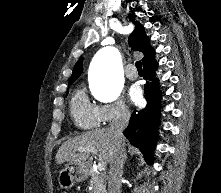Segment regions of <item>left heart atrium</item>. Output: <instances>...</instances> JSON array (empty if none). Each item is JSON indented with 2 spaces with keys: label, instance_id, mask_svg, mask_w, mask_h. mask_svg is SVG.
I'll list each match as a JSON object with an SVG mask.
<instances>
[{
  "label": "left heart atrium",
  "instance_id": "obj_1",
  "mask_svg": "<svg viewBox=\"0 0 221 193\" xmlns=\"http://www.w3.org/2000/svg\"><path fill=\"white\" fill-rule=\"evenodd\" d=\"M129 97L134 103H138L140 101L141 93L137 86L131 87L129 91Z\"/></svg>",
  "mask_w": 221,
  "mask_h": 193
}]
</instances>
